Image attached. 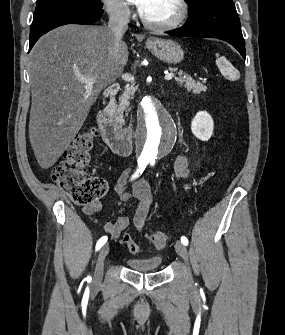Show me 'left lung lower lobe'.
<instances>
[{"label": "left lung lower lobe", "mask_w": 285, "mask_h": 335, "mask_svg": "<svg viewBox=\"0 0 285 335\" xmlns=\"http://www.w3.org/2000/svg\"><path fill=\"white\" fill-rule=\"evenodd\" d=\"M173 36L217 38L233 45L245 59V43L240 20L233 2H208L190 16L181 29Z\"/></svg>", "instance_id": "0a47b994"}]
</instances>
